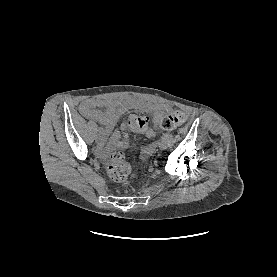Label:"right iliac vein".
<instances>
[{
  "instance_id": "63e3f726",
  "label": "right iliac vein",
  "mask_w": 277,
  "mask_h": 277,
  "mask_svg": "<svg viewBox=\"0 0 277 277\" xmlns=\"http://www.w3.org/2000/svg\"><path fill=\"white\" fill-rule=\"evenodd\" d=\"M96 142L98 143V144H101L102 143V138L101 137H96Z\"/></svg>"
}]
</instances>
